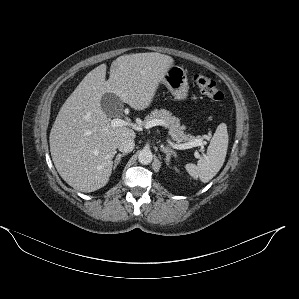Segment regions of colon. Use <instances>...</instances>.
I'll use <instances>...</instances> for the list:
<instances>
[{
    "instance_id": "obj_1",
    "label": "colon",
    "mask_w": 299,
    "mask_h": 299,
    "mask_svg": "<svg viewBox=\"0 0 299 299\" xmlns=\"http://www.w3.org/2000/svg\"><path fill=\"white\" fill-rule=\"evenodd\" d=\"M193 82L201 91V93L210 100L218 102L224 98L222 90L210 77L204 74H195L193 77Z\"/></svg>"
}]
</instances>
